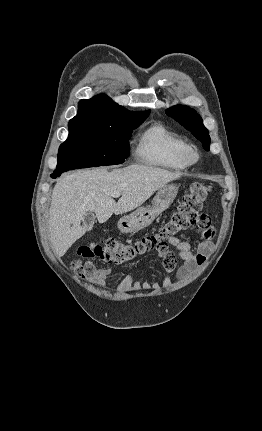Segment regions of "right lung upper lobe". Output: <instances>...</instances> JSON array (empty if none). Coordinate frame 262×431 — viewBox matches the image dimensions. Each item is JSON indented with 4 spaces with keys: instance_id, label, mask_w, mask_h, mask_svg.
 Instances as JSON below:
<instances>
[{
    "instance_id": "obj_1",
    "label": "right lung upper lobe",
    "mask_w": 262,
    "mask_h": 431,
    "mask_svg": "<svg viewBox=\"0 0 262 431\" xmlns=\"http://www.w3.org/2000/svg\"><path fill=\"white\" fill-rule=\"evenodd\" d=\"M148 115V112H130L115 103L106 95H97L79 102L77 115L69 124L82 122H109L118 119L135 118Z\"/></svg>"
}]
</instances>
